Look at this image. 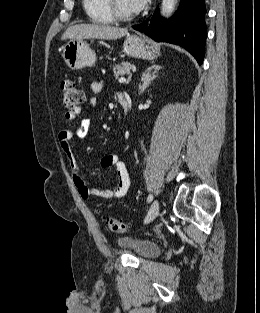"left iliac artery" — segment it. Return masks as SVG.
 <instances>
[{"mask_svg":"<svg viewBox=\"0 0 260 313\" xmlns=\"http://www.w3.org/2000/svg\"><path fill=\"white\" fill-rule=\"evenodd\" d=\"M152 200H153V195L150 194V195L148 196V198H147V201H148V203H150Z\"/></svg>","mask_w":260,"mask_h":313,"instance_id":"left-iliac-artery-1","label":"left iliac artery"}]
</instances>
